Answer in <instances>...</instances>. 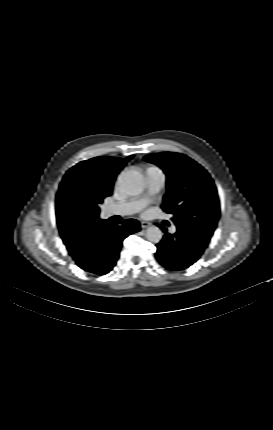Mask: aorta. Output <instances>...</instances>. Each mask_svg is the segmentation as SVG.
<instances>
[{
  "label": "aorta",
  "instance_id": "1",
  "mask_svg": "<svg viewBox=\"0 0 273 430\" xmlns=\"http://www.w3.org/2000/svg\"><path fill=\"white\" fill-rule=\"evenodd\" d=\"M120 189L130 196H136L143 192L145 179L142 173L136 170L122 172L118 177ZM146 238L152 243H158L162 239V231L157 226H150L146 230Z\"/></svg>",
  "mask_w": 273,
  "mask_h": 430
}]
</instances>
